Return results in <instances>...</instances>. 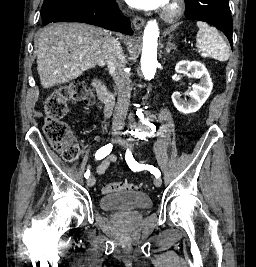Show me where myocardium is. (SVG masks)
Masks as SVG:
<instances>
[{
  "mask_svg": "<svg viewBox=\"0 0 256 267\" xmlns=\"http://www.w3.org/2000/svg\"><path fill=\"white\" fill-rule=\"evenodd\" d=\"M181 13V9L177 5H171L167 12V15L163 18V20L167 23H171L175 17H177Z\"/></svg>",
  "mask_w": 256,
  "mask_h": 267,
  "instance_id": "myocardium-1",
  "label": "myocardium"
}]
</instances>
